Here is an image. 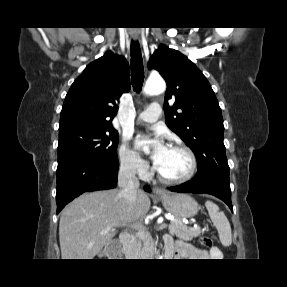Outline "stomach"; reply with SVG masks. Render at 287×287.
Returning <instances> with one entry per match:
<instances>
[{"mask_svg":"<svg viewBox=\"0 0 287 287\" xmlns=\"http://www.w3.org/2000/svg\"><path fill=\"white\" fill-rule=\"evenodd\" d=\"M159 199L167 211L180 219L193 217L199 211L197 201L188 194L165 192Z\"/></svg>","mask_w":287,"mask_h":287,"instance_id":"1","label":"stomach"}]
</instances>
